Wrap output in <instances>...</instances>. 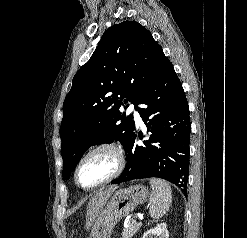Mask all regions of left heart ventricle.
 Instances as JSON below:
<instances>
[{"instance_id":"left-heart-ventricle-1","label":"left heart ventricle","mask_w":247,"mask_h":238,"mask_svg":"<svg viewBox=\"0 0 247 238\" xmlns=\"http://www.w3.org/2000/svg\"><path fill=\"white\" fill-rule=\"evenodd\" d=\"M116 167L115 157L101 151L87 158L78 172L79 182L84 186L94 185L110 176Z\"/></svg>"}]
</instances>
